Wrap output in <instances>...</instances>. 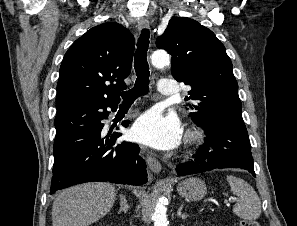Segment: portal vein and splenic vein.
Listing matches in <instances>:
<instances>
[{
    "label": "portal vein and splenic vein",
    "instance_id": "portal-vein-and-splenic-vein-1",
    "mask_svg": "<svg viewBox=\"0 0 297 226\" xmlns=\"http://www.w3.org/2000/svg\"><path fill=\"white\" fill-rule=\"evenodd\" d=\"M233 201H236V198H232V199H229V200H225L224 202L226 203V204H230V202H233Z\"/></svg>",
    "mask_w": 297,
    "mask_h": 226
}]
</instances>
